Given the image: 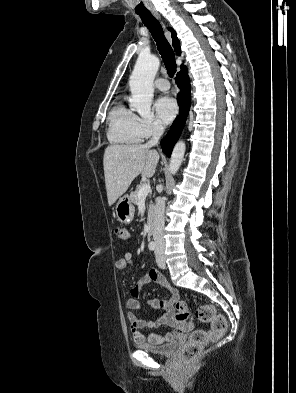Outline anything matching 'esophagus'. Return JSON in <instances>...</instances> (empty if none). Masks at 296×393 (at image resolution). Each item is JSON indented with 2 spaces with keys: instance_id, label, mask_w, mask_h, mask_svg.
Wrapping results in <instances>:
<instances>
[{
  "instance_id": "1",
  "label": "esophagus",
  "mask_w": 296,
  "mask_h": 393,
  "mask_svg": "<svg viewBox=\"0 0 296 393\" xmlns=\"http://www.w3.org/2000/svg\"><path fill=\"white\" fill-rule=\"evenodd\" d=\"M151 12H152V14L156 17V18H158V19H161V16H160V14L156 11V10H151Z\"/></svg>"
}]
</instances>
